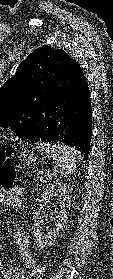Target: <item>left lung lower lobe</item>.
<instances>
[{
  "instance_id": "1",
  "label": "left lung lower lobe",
  "mask_w": 113,
  "mask_h": 279,
  "mask_svg": "<svg viewBox=\"0 0 113 279\" xmlns=\"http://www.w3.org/2000/svg\"><path fill=\"white\" fill-rule=\"evenodd\" d=\"M92 135L90 91L80 65L70 58L36 105L25 141L57 142L77 148L87 159Z\"/></svg>"
}]
</instances>
